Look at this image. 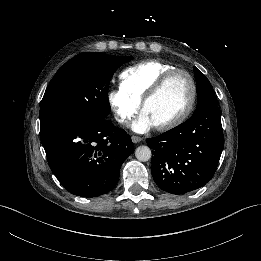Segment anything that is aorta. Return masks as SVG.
I'll list each match as a JSON object with an SVG mask.
<instances>
[{
    "label": "aorta",
    "mask_w": 261,
    "mask_h": 261,
    "mask_svg": "<svg viewBox=\"0 0 261 261\" xmlns=\"http://www.w3.org/2000/svg\"><path fill=\"white\" fill-rule=\"evenodd\" d=\"M152 152L147 146H139L135 151V157L140 162H147L151 159Z\"/></svg>",
    "instance_id": "762f6f07"
}]
</instances>
